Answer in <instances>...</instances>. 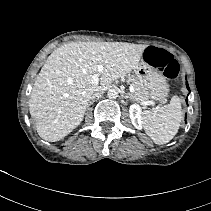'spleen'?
I'll return each instance as SVG.
<instances>
[{"mask_svg":"<svg viewBox=\"0 0 211 211\" xmlns=\"http://www.w3.org/2000/svg\"><path fill=\"white\" fill-rule=\"evenodd\" d=\"M182 119L181 103L178 96H173L170 104L164 105L157 112L145 111L143 127L158 145L168 143L178 132Z\"/></svg>","mask_w":211,"mask_h":211,"instance_id":"1","label":"spleen"}]
</instances>
